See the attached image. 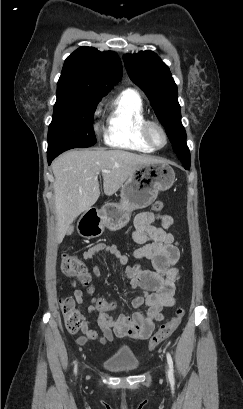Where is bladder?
Instances as JSON below:
<instances>
[{"label": "bladder", "instance_id": "bladder-1", "mask_svg": "<svg viewBox=\"0 0 243 409\" xmlns=\"http://www.w3.org/2000/svg\"><path fill=\"white\" fill-rule=\"evenodd\" d=\"M104 367L112 373H130L137 371L139 364L133 359H117L107 361Z\"/></svg>", "mask_w": 243, "mask_h": 409}]
</instances>
